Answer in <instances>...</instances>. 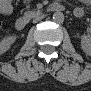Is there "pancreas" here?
<instances>
[{
  "instance_id": "cf45deb5",
  "label": "pancreas",
  "mask_w": 91,
  "mask_h": 91,
  "mask_svg": "<svg viewBox=\"0 0 91 91\" xmlns=\"http://www.w3.org/2000/svg\"><path fill=\"white\" fill-rule=\"evenodd\" d=\"M37 14V12H35V11H27V12H25V16H27V17H34L35 15Z\"/></svg>"
}]
</instances>
